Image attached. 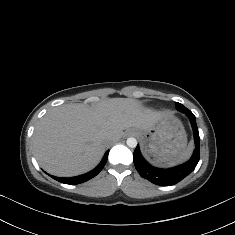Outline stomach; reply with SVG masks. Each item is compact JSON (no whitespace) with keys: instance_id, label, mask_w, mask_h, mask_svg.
I'll return each mask as SVG.
<instances>
[{"instance_id":"obj_1","label":"stomach","mask_w":235,"mask_h":235,"mask_svg":"<svg viewBox=\"0 0 235 235\" xmlns=\"http://www.w3.org/2000/svg\"><path fill=\"white\" fill-rule=\"evenodd\" d=\"M134 131L145 151L153 156V161L165 165L179 158L186 149L187 138L181 123L172 116L160 119L147 129Z\"/></svg>"}]
</instances>
